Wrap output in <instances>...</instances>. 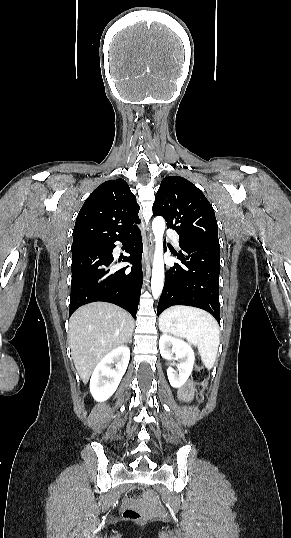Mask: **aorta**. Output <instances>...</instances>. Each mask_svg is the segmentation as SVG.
I'll return each mask as SVG.
<instances>
[{"label":"aorta","instance_id":"aorta-1","mask_svg":"<svg viewBox=\"0 0 291 538\" xmlns=\"http://www.w3.org/2000/svg\"><path fill=\"white\" fill-rule=\"evenodd\" d=\"M152 230L156 242L152 279H151V291L155 299H157L163 289L164 284V261H163V234L165 231V220L161 216H156L152 222Z\"/></svg>","mask_w":291,"mask_h":538}]
</instances>
